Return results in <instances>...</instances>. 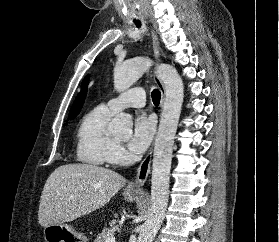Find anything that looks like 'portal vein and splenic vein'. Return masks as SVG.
<instances>
[{
    "label": "portal vein and splenic vein",
    "mask_w": 279,
    "mask_h": 242,
    "mask_svg": "<svg viewBox=\"0 0 279 242\" xmlns=\"http://www.w3.org/2000/svg\"><path fill=\"white\" fill-rule=\"evenodd\" d=\"M106 242H115V237L112 235L106 239Z\"/></svg>",
    "instance_id": "portal-vein-and-splenic-vein-1"
}]
</instances>
